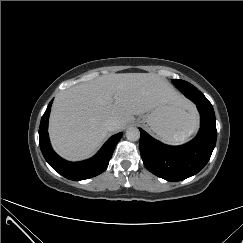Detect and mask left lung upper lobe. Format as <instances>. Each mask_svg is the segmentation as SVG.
<instances>
[{
  "label": "left lung upper lobe",
  "instance_id": "left-lung-upper-lobe-1",
  "mask_svg": "<svg viewBox=\"0 0 243 243\" xmlns=\"http://www.w3.org/2000/svg\"><path fill=\"white\" fill-rule=\"evenodd\" d=\"M173 84L178 88L180 86L186 85L189 82H186L184 80H172Z\"/></svg>",
  "mask_w": 243,
  "mask_h": 243
}]
</instances>
